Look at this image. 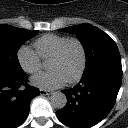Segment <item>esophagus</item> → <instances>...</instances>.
Returning a JSON list of instances; mask_svg holds the SVG:
<instances>
[{
    "label": "esophagus",
    "instance_id": "esophagus-1",
    "mask_svg": "<svg viewBox=\"0 0 128 128\" xmlns=\"http://www.w3.org/2000/svg\"><path fill=\"white\" fill-rule=\"evenodd\" d=\"M40 94H41V95H50V94H51V91H47V90H44V89H40Z\"/></svg>",
    "mask_w": 128,
    "mask_h": 128
}]
</instances>
